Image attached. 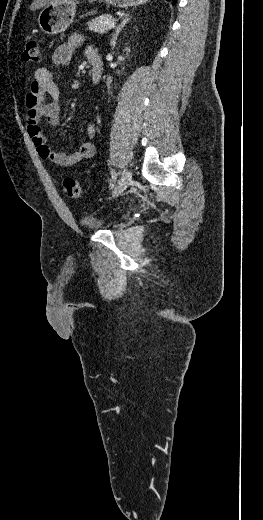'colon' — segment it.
I'll return each instance as SVG.
<instances>
[{
  "label": "colon",
  "instance_id": "colon-1",
  "mask_svg": "<svg viewBox=\"0 0 263 520\" xmlns=\"http://www.w3.org/2000/svg\"><path fill=\"white\" fill-rule=\"evenodd\" d=\"M22 58L27 62H38L40 59L39 45L36 40H29L25 44ZM65 192L70 198H79L82 190L79 181L74 177H66L63 180Z\"/></svg>",
  "mask_w": 263,
  "mask_h": 520
}]
</instances>
